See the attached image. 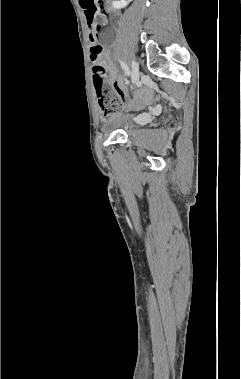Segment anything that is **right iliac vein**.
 <instances>
[{"label":"right iliac vein","mask_w":241,"mask_h":379,"mask_svg":"<svg viewBox=\"0 0 241 379\" xmlns=\"http://www.w3.org/2000/svg\"><path fill=\"white\" fill-rule=\"evenodd\" d=\"M133 83H136L139 80V67L136 62H132V73H131Z\"/></svg>","instance_id":"1"}]
</instances>
